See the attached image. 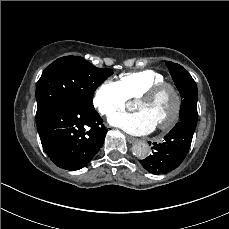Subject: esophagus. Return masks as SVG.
I'll list each match as a JSON object with an SVG mask.
<instances>
[{
  "instance_id": "obj_1",
  "label": "esophagus",
  "mask_w": 229,
  "mask_h": 229,
  "mask_svg": "<svg viewBox=\"0 0 229 229\" xmlns=\"http://www.w3.org/2000/svg\"><path fill=\"white\" fill-rule=\"evenodd\" d=\"M139 139L138 138H135L133 136H127V141L131 144L137 142Z\"/></svg>"
}]
</instances>
